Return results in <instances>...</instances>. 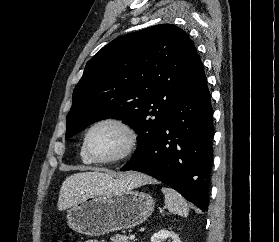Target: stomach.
<instances>
[{
	"instance_id": "stomach-1",
	"label": "stomach",
	"mask_w": 279,
	"mask_h": 242,
	"mask_svg": "<svg viewBox=\"0 0 279 242\" xmlns=\"http://www.w3.org/2000/svg\"><path fill=\"white\" fill-rule=\"evenodd\" d=\"M155 201L135 189H117L81 199L67 211V224L80 234L101 236L142 224L153 212Z\"/></svg>"
}]
</instances>
